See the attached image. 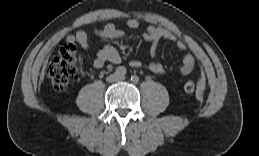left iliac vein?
I'll return each instance as SVG.
<instances>
[{
    "label": "left iliac vein",
    "mask_w": 259,
    "mask_h": 156,
    "mask_svg": "<svg viewBox=\"0 0 259 156\" xmlns=\"http://www.w3.org/2000/svg\"><path fill=\"white\" fill-rule=\"evenodd\" d=\"M124 79H125L124 76H119V77H118V80H119V81H123Z\"/></svg>",
    "instance_id": "obj_1"
}]
</instances>
